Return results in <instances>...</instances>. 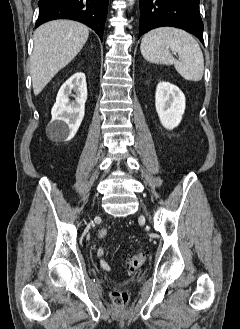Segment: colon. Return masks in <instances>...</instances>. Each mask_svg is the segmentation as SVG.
Wrapping results in <instances>:
<instances>
[{"label": "colon", "instance_id": "5ec220e1", "mask_svg": "<svg viewBox=\"0 0 240 329\" xmlns=\"http://www.w3.org/2000/svg\"><path fill=\"white\" fill-rule=\"evenodd\" d=\"M106 229H102L99 233L100 237L106 235ZM125 265L130 272L136 271L145 261V254L142 252H136L127 255L124 259ZM111 301L118 307H125L129 302V295L125 291H113L110 294Z\"/></svg>", "mask_w": 240, "mask_h": 329}]
</instances>
